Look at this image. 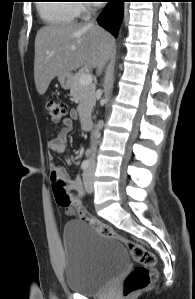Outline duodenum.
<instances>
[{
  "instance_id": "duodenum-1",
  "label": "duodenum",
  "mask_w": 195,
  "mask_h": 299,
  "mask_svg": "<svg viewBox=\"0 0 195 299\" xmlns=\"http://www.w3.org/2000/svg\"><path fill=\"white\" fill-rule=\"evenodd\" d=\"M80 120L83 128L88 129L92 125L91 115L89 113H82L80 115Z\"/></svg>"
}]
</instances>
